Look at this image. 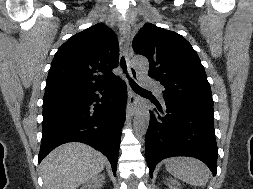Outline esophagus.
I'll list each match as a JSON object with an SVG mask.
<instances>
[{"mask_svg":"<svg viewBox=\"0 0 253 189\" xmlns=\"http://www.w3.org/2000/svg\"><path fill=\"white\" fill-rule=\"evenodd\" d=\"M119 28L123 35L124 55L127 61V66H128L130 76L134 81H137L138 73L131 64L132 52L130 49V25L125 20H121L119 23ZM137 102H138V97L131 90H129L128 102H127V107H126L127 115L133 116L135 114Z\"/></svg>","mask_w":253,"mask_h":189,"instance_id":"obj_1","label":"esophagus"}]
</instances>
